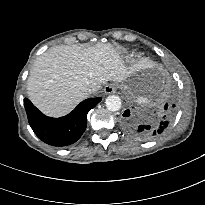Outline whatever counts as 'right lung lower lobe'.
Masks as SVG:
<instances>
[{"mask_svg": "<svg viewBox=\"0 0 205 205\" xmlns=\"http://www.w3.org/2000/svg\"><path fill=\"white\" fill-rule=\"evenodd\" d=\"M101 99H86L70 114L57 119L42 114L27 98L24 99V106L31 128L43 142L53 146H67L82 136L87 126V113Z\"/></svg>", "mask_w": 205, "mask_h": 205, "instance_id": "obj_1", "label": "right lung lower lobe"}]
</instances>
